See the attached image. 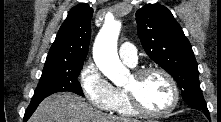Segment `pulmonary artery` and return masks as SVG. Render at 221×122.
Here are the masks:
<instances>
[{"instance_id":"obj_1","label":"pulmonary artery","mask_w":221,"mask_h":122,"mask_svg":"<svg viewBox=\"0 0 221 122\" xmlns=\"http://www.w3.org/2000/svg\"><path fill=\"white\" fill-rule=\"evenodd\" d=\"M119 56L129 66H136L138 62L137 49L130 42H125L120 46Z\"/></svg>"}]
</instances>
